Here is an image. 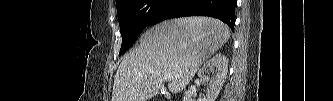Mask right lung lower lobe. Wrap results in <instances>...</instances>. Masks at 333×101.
<instances>
[{
  "mask_svg": "<svg viewBox=\"0 0 333 101\" xmlns=\"http://www.w3.org/2000/svg\"><path fill=\"white\" fill-rule=\"evenodd\" d=\"M237 0H167L154 24L183 16H211L226 23L233 31Z\"/></svg>",
  "mask_w": 333,
  "mask_h": 101,
  "instance_id": "right-lung-lower-lobe-1",
  "label": "right lung lower lobe"
}]
</instances>
